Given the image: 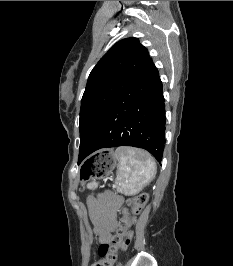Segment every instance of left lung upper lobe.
I'll list each match as a JSON object with an SVG mask.
<instances>
[{
	"label": "left lung upper lobe",
	"instance_id": "5c2ea615",
	"mask_svg": "<svg viewBox=\"0 0 233 266\" xmlns=\"http://www.w3.org/2000/svg\"><path fill=\"white\" fill-rule=\"evenodd\" d=\"M149 59L147 49L137 38L131 37L112 46L93 68L81 100L80 151Z\"/></svg>",
	"mask_w": 233,
	"mask_h": 266
}]
</instances>
